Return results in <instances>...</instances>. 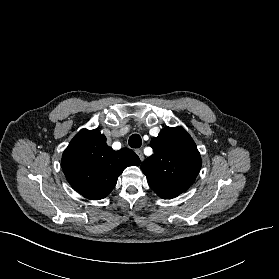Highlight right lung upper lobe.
Returning <instances> with one entry per match:
<instances>
[{"instance_id": "1", "label": "right lung upper lobe", "mask_w": 279, "mask_h": 279, "mask_svg": "<svg viewBox=\"0 0 279 279\" xmlns=\"http://www.w3.org/2000/svg\"><path fill=\"white\" fill-rule=\"evenodd\" d=\"M139 164L135 152L128 148L114 151L96 129L78 132L62 157L66 179L79 194L90 200L105 198L123 170Z\"/></svg>"}]
</instances>
